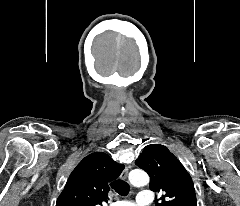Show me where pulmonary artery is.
<instances>
[{
	"instance_id": "e3ab8cb5",
	"label": "pulmonary artery",
	"mask_w": 240,
	"mask_h": 206,
	"mask_svg": "<svg viewBox=\"0 0 240 206\" xmlns=\"http://www.w3.org/2000/svg\"><path fill=\"white\" fill-rule=\"evenodd\" d=\"M152 202V194L148 190L140 191L136 197V203L131 201H117L112 206H148Z\"/></svg>"
}]
</instances>
